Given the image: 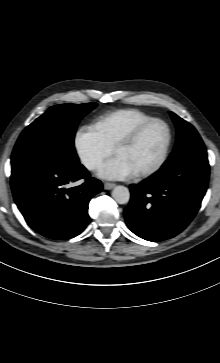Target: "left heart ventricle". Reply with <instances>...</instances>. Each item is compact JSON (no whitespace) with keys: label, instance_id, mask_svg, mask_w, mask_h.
Listing matches in <instances>:
<instances>
[{"label":"left heart ventricle","instance_id":"obj_1","mask_svg":"<svg viewBox=\"0 0 220 363\" xmlns=\"http://www.w3.org/2000/svg\"><path fill=\"white\" fill-rule=\"evenodd\" d=\"M167 141L163 125L152 124L130 145L116 151L132 167L135 173L152 167L160 158Z\"/></svg>","mask_w":220,"mask_h":363}]
</instances>
